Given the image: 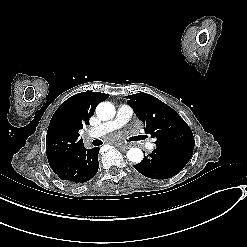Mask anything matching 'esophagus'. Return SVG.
<instances>
[{"mask_svg":"<svg viewBox=\"0 0 247 247\" xmlns=\"http://www.w3.org/2000/svg\"><path fill=\"white\" fill-rule=\"evenodd\" d=\"M130 147H131V145H129V144H120L119 145V149L122 151H125V150L129 149Z\"/></svg>","mask_w":247,"mask_h":247,"instance_id":"34e87169","label":"esophagus"}]
</instances>
